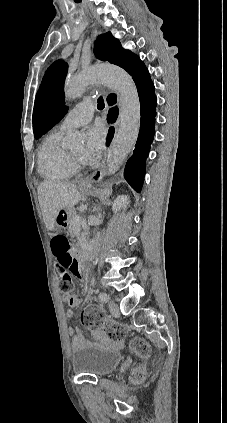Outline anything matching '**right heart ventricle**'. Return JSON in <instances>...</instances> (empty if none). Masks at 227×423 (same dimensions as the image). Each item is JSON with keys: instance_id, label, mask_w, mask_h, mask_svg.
<instances>
[{"instance_id": "e07e8e85", "label": "right heart ventricle", "mask_w": 227, "mask_h": 423, "mask_svg": "<svg viewBox=\"0 0 227 423\" xmlns=\"http://www.w3.org/2000/svg\"><path fill=\"white\" fill-rule=\"evenodd\" d=\"M67 130L59 127L51 130L42 140L37 151V170L49 180H64L70 178L74 171V161L68 149L62 146V140Z\"/></svg>"}]
</instances>
